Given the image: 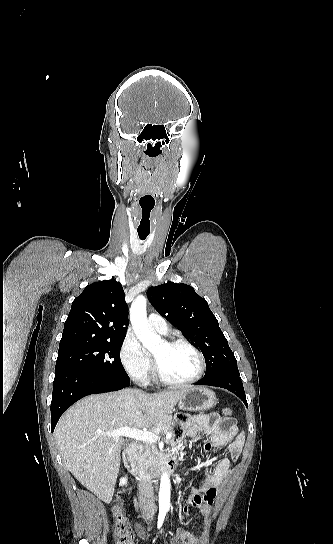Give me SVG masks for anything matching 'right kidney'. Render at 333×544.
Segmentation results:
<instances>
[{
	"label": "right kidney",
	"mask_w": 333,
	"mask_h": 544,
	"mask_svg": "<svg viewBox=\"0 0 333 544\" xmlns=\"http://www.w3.org/2000/svg\"><path fill=\"white\" fill-rule=\"evenodd\" d=\"M126 482H127V479H126V478H122V479L120 480V484H119V485H122V486H123L124 484H126Z\"/></svg>",
	"instance_id": "obj_1"
}]
</instances>
